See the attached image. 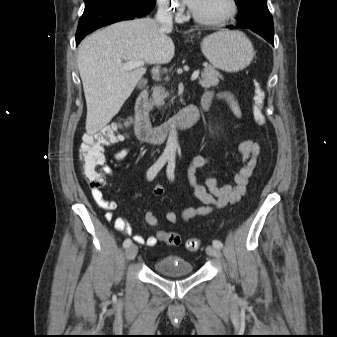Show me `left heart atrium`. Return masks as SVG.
Here are the masks:
<instances>
[{
    "instance_id": "obj_1",
    "label": "left heart atrium",
    "mask_w": 337,
    "mask_h": 337,
    "mask_svg": "<svg viewBox=\"0 0 337 337\" xmlns=\"http://www.w3.org/2000/svg\"><path fill=\"white\" fill-rule=\"evenodd\" d=\"M191 8L195 7L199 0H184Z\"/></svg>"
}]
</instances>
